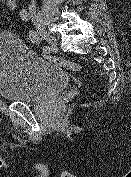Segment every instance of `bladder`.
Masks as SVG:
<instances>
[{
  "instance_id": "obj_1",
  "label": "bladder",
  "mask_w": 131,
  "mask_h": 177,
  "mask_svg": "<svg viewBox=\"0 0 131 177\" xmlns=\"http://www.w3.org/2000/svg\"><path fill=\"white\" fill-rule=\"evenodd\" d=\"M70 81L62 67L28 48L14 32H0V98L38 103L60 94Z\"/></svg>"
}]
</instances>
